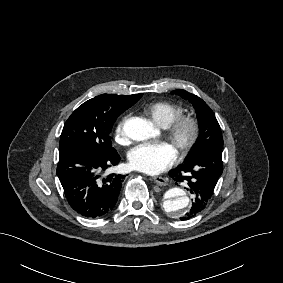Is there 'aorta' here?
Returning <instances> with one entry per match:
<instances>
[{
	"instance_id": "762f6f07",
	"label": "aorta",
	"mask_w": 283,
	"mask_h": 283,
	"mask_svg": "<svg viewBox=\"0 0 283 283\" xmlns=\"http://www.w3.org/2000/svg\"><path fill=\"white\" fill-rule=\"evenodd\" d=\"M123 130L125 134L136 141H142L151 138L155 134L153 123L139 117L128 119ZM190 198L185 189L173 187L164 194L163 209L170 216L179 218L189 211Z\"/></svg>"
}]
</instances>
